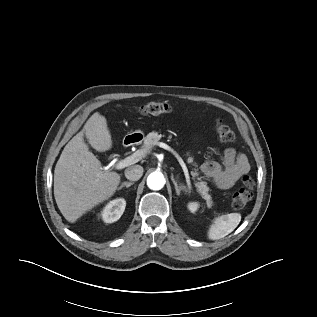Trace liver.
I'll return each mask as SVG.
<instances>
[{"mask_svg": "<svg viewBox=\"0 0 317 317\" xmlns=\"http://www.w3.org/2000/svg\"><path fill=\"white\" fill-rule=\"evenodd\" d=\"M84 135L97 151L105 152L112 146L107 120L95 112L64 147L54 170V197L60 212L71 223L111 197L120 183V175L104 170L89 151Z\"/></svg>", "mask_w": 317, "mask_h": 317, "instance_id": "liver-1", "label": "liver"}]
</instances>
